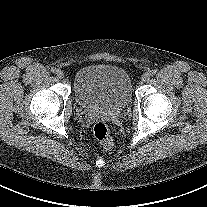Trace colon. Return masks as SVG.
<instances>
[{"instance_id": "colon-1", "label": "colon", "mask_w": 207, "mask_h": 207, "mask_svg": "<svg viewBox=\"0 0 207 207\" xmlns=\"http://www.w3.org/2000/svg\"><path fill=\"white\" fill-rule=\"evenodd\" d=\"M93 134L95 138L106 148L111 149L113 147V139L110 135L107 124L103 121H98L93 127Z\"/></svg>"}]
</instances>
